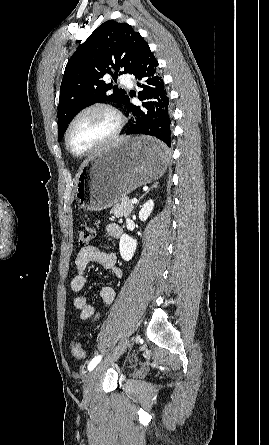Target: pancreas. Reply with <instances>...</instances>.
I'll list each match as a JSON object with an SVG mask.
<instances>
[{
    "label": "pancreas",
    "instance_id": "cf45deb5",
    "mask_svg": "<svg viewBox=\"0 0 269 445\" xmlns=\"http://www.w3.org/2000/svg\"><path fill=\"white\" fill-rule=\"evenodd\" d=\"M134 205L128 198H122L120 200V203L116 204L112 210L111 213L114 214L116 218L121 217H128L131 211L133 210Z\"/></svg>",
    "mask_w": 269,
    "mask_h": 445
}]
</instances>
